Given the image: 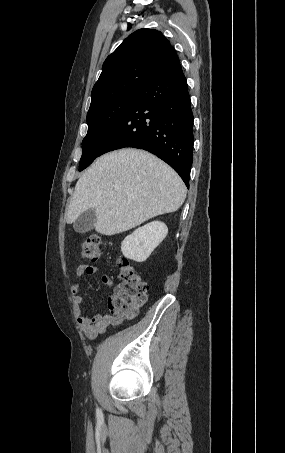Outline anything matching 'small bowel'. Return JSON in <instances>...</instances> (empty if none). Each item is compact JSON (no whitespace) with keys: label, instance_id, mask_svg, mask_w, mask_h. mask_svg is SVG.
Wrapping results in <instances>:
<instances>
[{"label":"small bowel","instance_id":"1","mask_svg":"<svg viewBox=\"0 0 285 453\" xmlns=\"http://www.w3.org/2000/svg\"><path fill=\"white\" fill-rule=\"evenodd\" d=\"M98 271L99 269L94 265H80L77 268L76 275L78 277L84 275H95ZM101 281L107 287L113 286V281L108 275H103L101 277ZM71 290L73 293L74 314L86 338L93 340L99 335L105 333L108 327L117 325L124 320L125 316L119 311L114 297L109 298L107 302L110 312L109 314L98 313L93 316L84 315L82 311L83 297L79 294L81 285L79 283L74 284L71 287Z\"/></svg>","mask_w":285,"mask_h":453}]
</instances>
